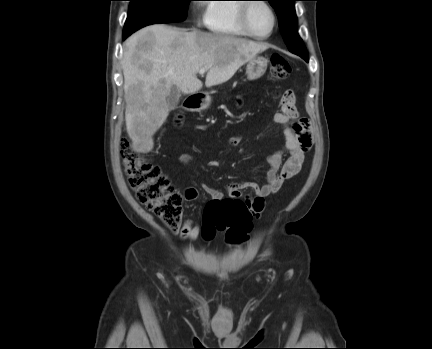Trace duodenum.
<instances>
[{
  "mask_svg": "<svg viewBox=\"0 0 432 349\" xmlns=\"http://www.w3.org/2000/svg\"><path fill=\"white\" fill-rule=\"evenodd\" d=\"M201 97L191 96L184 102V108L188 111H195L201 105Z\"/></svg>",
  "mask_w": 432,
  "mask_h": 349,
  "instance_id": "obj_1",
  "label": "duodenum"
}]
</instances>
